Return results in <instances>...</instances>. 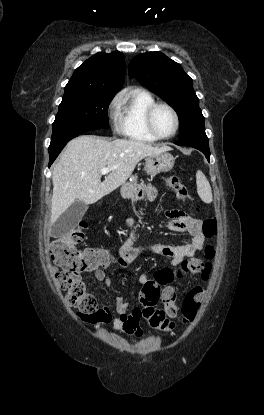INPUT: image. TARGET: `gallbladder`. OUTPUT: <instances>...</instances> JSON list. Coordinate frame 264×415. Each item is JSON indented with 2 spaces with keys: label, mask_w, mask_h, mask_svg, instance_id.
Instances as JSON below:
<instances>
[{
  "label": "gallbladder",
  "mask_w": 264,
  "mask_h": 415,
  "mask_svg": "<svg viewBox=\"0 0 264 415\" xmlns=\"http://www.w3.org/2000/svg\"><path fill=\"white\" fill-rule=\"evenodd\" d=\"M87 209L88 206L83 201H74L54 223L51 231L52 236L61 237L71 232L78 225Z\"/></svg>",
  "instance_id": "gallbladder-1"
}]
</instances>
